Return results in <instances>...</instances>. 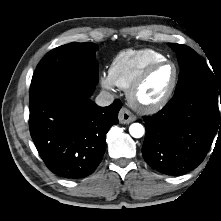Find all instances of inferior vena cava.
I'll use <instances>...</instances> for the list:
<instances>
[{"label":"inferior vena cava","mask_w":221,"mask_h":221,"mask_svg":"<svg viewBox=\"0 0 221 221\" xmlns=\"http://www.w3.org/2000/svg\"><path fill=\"white\" fill-rule=\"evenodd\" d=\"M113 101L114 96L110 92L105 90L101 91L95 99V103L101 107L109 106L113 103Z\"/></svg>","instance_id":"602c4592"}]
</instances>
